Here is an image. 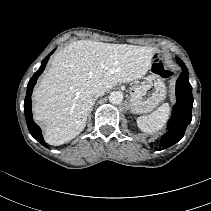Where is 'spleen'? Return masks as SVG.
I'll list each match as a JSON object with an SVG mask.
<instances>
[{"mask_svg": "<svg viewBox=\"0 0 211 211\" xmlns=\"http://www.w3.org/2000/svg\"><path fill=\"white\" fill-rule=\"evenodd\" d=\"M170 106L164 103L157 110L146 116L137 118L138 127L148 134L157 133L161 130L169 118Z\"/></svg>", "mask_w": 211, "mask_h": 211, "instance_id": "spleen-1", "label": "spleen"}]
</instances>
